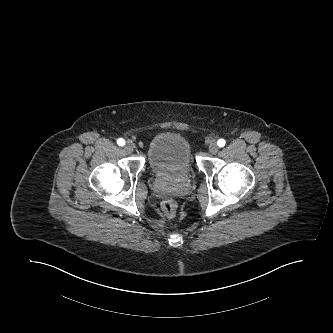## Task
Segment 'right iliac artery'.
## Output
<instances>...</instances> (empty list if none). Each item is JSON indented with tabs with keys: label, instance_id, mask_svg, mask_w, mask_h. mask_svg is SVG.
Returning a JSON list of instances; mask_svg holds the SVG:
<instances>
[{
	"label": "right iliac artery",
	"instance_id": "1",
	"mask_svg": "<svg viewBox=\"0 0 333 333\" xmlns=\"http://www.w3.org/2000/svg\"><path fill=\"white\" fill-rule=\"evenodd\" d=\"M117 144H118L119 146H123V145H125V140L122 139V138H120V139L117 140Z\"/></svg>",
	"mask_w": 333,
	"mask_h": 333
}]
</instances>
